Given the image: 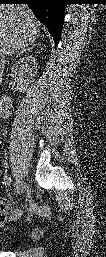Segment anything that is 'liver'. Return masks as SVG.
<instances>
[{"label":"liver","mask_w":106,"mask_h":257,"mask_svg":"<svg viewBox=\"0 0 106 257\" xmlns=\"http://www.w3.org/2000/svg\"><path fill=\"white\" fill-rule=\"evenodd\" d=\"M40 23L26 5L0 6V55H12L40 37Z\"/></svg>","instance_id":"liver-1"}]
</instances>
